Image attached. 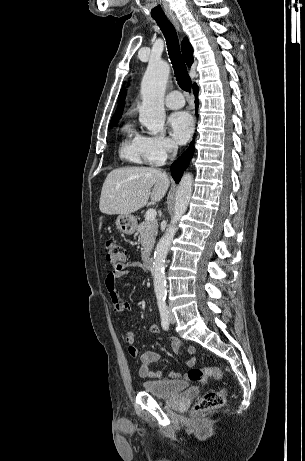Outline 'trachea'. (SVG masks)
Segmentation results:
<instances>
[{
	"label": "trachea",
	"instance_id": "1",
	"mask_svg": "<svg viewBox=\"0 0 305 461\" xmlns=\"http://www.w3.org/2000/svg\"><path fill=\"white\" fill-rule=\"evenodd\" d=\"M154 19L165 36L169 58L173 65L174 74L178 85L181 87V89L190 92L191 78L188 74L185 62L180 52V45L176 30L173 24L166 17Z\"/></svg>",
	"mask_w": 305,
	"mask_h": 461
}]
</instances>
